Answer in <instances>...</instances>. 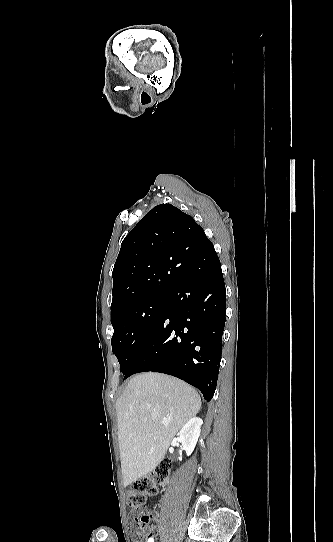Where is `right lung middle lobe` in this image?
Returning a JSON list of instances; mask_svg holds the SVG:
<instances>
[{
    "label": "right lung middle lobe",
    "instance_id": "right-lung-middle-lobe-1",
    "mask_svg": "<svg viewBox=\"0 0 333 542\" xmlns=\"http://www.w3.org/2000/svg\"><path fill=\"white\" fill-rule=\"evenodd\" d=\"M167 304L168 293H165L148 302L129 306L111 317L114 328L112 351L123 374L128 371L140 347L165 312Z\"/></svg>",
    "mask_w": 333,
    "mask_h": 542
}]
</instances>
